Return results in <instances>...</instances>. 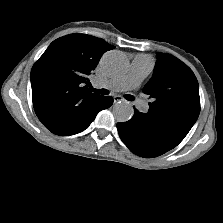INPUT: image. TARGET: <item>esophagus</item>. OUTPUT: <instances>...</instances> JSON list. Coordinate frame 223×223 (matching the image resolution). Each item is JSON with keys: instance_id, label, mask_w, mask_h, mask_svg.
<instances>
[{"instance_id": "esophagus-1", "label": "esophagus", "mask_w": 223, "mask_h": 223, "mask_svg": "<svg viewBox=\"0 0 223 223\" xmlns=\"http://www.w3.org/2000/svg\"><path fill=\"white\" fill-rule=\"evenodd\" d=\"M118 101H122V99L118 96L114 97V103H117Z\"/></svg>"}]
</instances>
